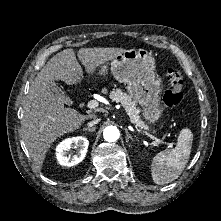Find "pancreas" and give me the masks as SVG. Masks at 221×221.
I'll return each instance as SVG.
<instances>
[{"mask_svg":"<svg viewBox=\"0 0 221 221\" xmlns=\"http://www.w3.org/2000/svg\"><path fill=\"white\" fill-rule=\"evenodd\" d=\"M110 98L115 102H120L125 111L132 118L138 129H147L148 126L141 120L140 109L136 106L135 100L121 89H113Z\"/></svg>","mask_w":221,"mask_h":221,"instance_id":"obj_1","label":"pancreas"}]
</instances>
